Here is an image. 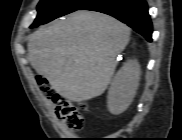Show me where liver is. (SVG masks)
<instances>
[{"label":"liver","instance_id":"6515ba94","mask_svg":"<svg viewBox=\"0 0 182 140\" xmlns=\"http://www.w3.org/2000/svg\"><path fill=\"white\" fill-rule=\"evenodd\" d=\"M129 38L130 29L115 18L76 11L31 35L29 61L61 97L87 101L107 89Z\"/></svg>","mask_w":182,"mask_h":140}]
</instances>
